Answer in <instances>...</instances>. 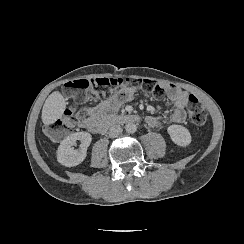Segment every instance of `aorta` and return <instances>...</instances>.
<instances>
[{
    "label": "aorta",
    "instance_id": "obj_1",
    "mask_svg": "<svg viewBox=\"0 0 244 244\" xmlns=\"http://www.w3.org/2000/svg\"><path fill=\"white\" fill-rule=\"evenodd\" d=\"M125 130L129 134L135 133L137 131V126L135 123L129 122L125 125Z\"/></svg>",
    "mask_w": 244,
    "mask_h": 244
}]
</instances>
